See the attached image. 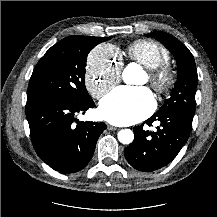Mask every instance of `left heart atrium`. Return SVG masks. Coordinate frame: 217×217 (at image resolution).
Returning a JSON list of instances; mask_svg holds the SVG:
<instances>
[{"instance_id": "1", "label": "left heart atrium", "mask_w": 217, "mask_h": 217, "mask_svg": "<svg viewBox=\"0 0 217 217\" xmlns=\"http://www.w3.org/2000/svg\"><path fill=\"white\" fill-rule=\"evenodd\" d=\"M153 107L154 98L148 88L122 86L101 100L99 111L104 120L127 125L145 118Z\"/></svg>"}]
</instances>
